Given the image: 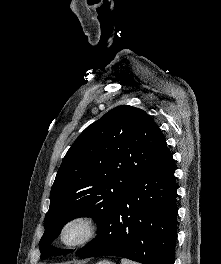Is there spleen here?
<instances>
[{
	"mask_svg": "<svg viewBox=\"0 0 221 264\" xmlns=\"http://www.w3.org/2000/svg\"><path fill=\"white\" fill-rule=\"evenodd\" d=\"M121 263L122 264H139V263H136V262L129 261L127 259H121Z\"/></svg>",
	"mask_w": 221,
	"mask_h": 264,
	"instance_id": "spleen-1",
	"label": "spleen"
}]
</instances>
